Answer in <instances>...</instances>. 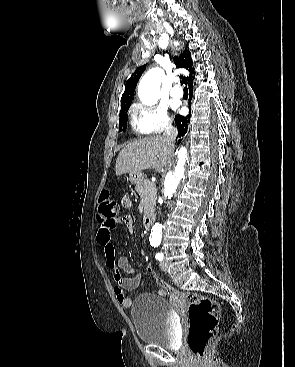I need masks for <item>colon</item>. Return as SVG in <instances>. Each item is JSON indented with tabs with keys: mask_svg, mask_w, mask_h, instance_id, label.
Instances as JSON below:
<instances>
[{
	"mask_svg": "<svg viewBox=\"0 0 295 367\" xmlns=\"http://www.w3.org/2000/svg\"><path fill=\"white\" fill-rule=\"evenodd\" d=\"M116 212L117 204L110 198L107 190L103 191L97 215L98 221H112L116 218ZM147 271L161 287L162 294L184 298L189 302L190 325L187 343L191 352L202 359L208 342L217 331L220 316L218 302L200 293L177 291L168 286L151 266L147 268Z\"/></svg>",
	"mask_w": 295,
	"mask_h": 367,
	"instance_id": "1",
	"label": "colon"
}]
</instances>
